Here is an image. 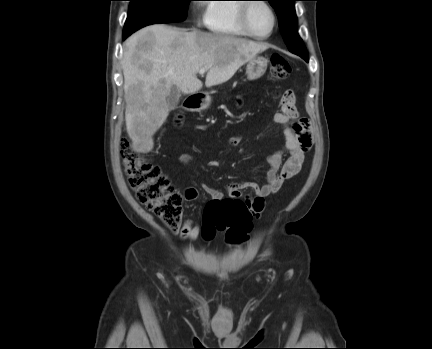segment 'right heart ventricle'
<instances>
[{
  "mask_svg": "<svg viewBox=\"0 0 432 349\" xmlns=\"http://www.w3.org/2000/svg\"><path fill=\"white\" fill-rule=\"evenodd\" d=\"M222 1L240 0H212L207 4L204 15L205 27L212 33L232 38L246 37L238 22L239 3H223Z\"/></svg>",
  "mask_w": 432,
  "mask_h": 349,
  "instance_id": "right-heart-ventricle-1",
  "label": "right heart ventricle"
}]
</instances>
